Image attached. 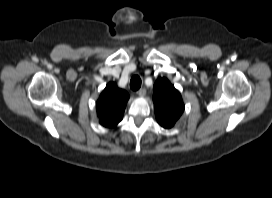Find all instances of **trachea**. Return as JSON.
<instances>
[{
	"instance_id": "3493384b",
	"label": "trachea",
	"mask_w": 272,
	"mask_h": 198,
	"mask_svg": "<svg viewBox=\"0 0 272 198\" xmlns=\"http://www.w3.org/2000/svg\"><path fill=\"white\" fill-rule=\"evenodd\" d=\"M141 87V78L138 75H134L130 80V88L134 91Z\"/></svg>"
}]
</instances>
